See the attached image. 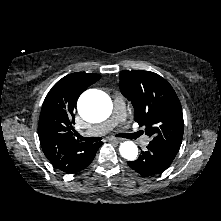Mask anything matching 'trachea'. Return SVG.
Returning a JSON list of instances; mask_svg holds the SVG:
<instances>
[{"label":"trachea","instance_id":"1","mask_svg":"<svg viewBox=\"0 0 221 221\" xmlns=\"http://www.w3.org/2000/svg\"><path fill=\"white\" fill-rule=\"evenodd\" d=\"M141 134H142L141 132H137V133L132 135V138H136ZM78 137L80 138V140L88 142V143L98 142L102 139L101 137H83V136H80V135H78Z\"/></svg>","mask_w":221,"mask_h":221}]
</instances>
